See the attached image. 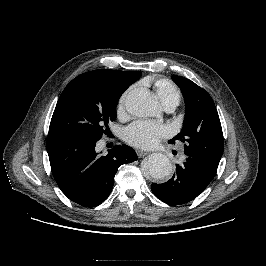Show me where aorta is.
Segmentation results:
<instances>
[{
  "mask_svg": "<svg viewBox=\"0 0 266 266\" xmlns=\"http://www.w3.org/2000/svg\"><path fill=\"white\" fill-rule=\"evenodd\" d=\"M125 107L131 115L149 117L158 113L159 101L157 96L148 90L136 89L128 93ZM142 170L154 179H162L172 173V164L166 155L153 153L148 156Z\"/></svg>",
  "mask_w": 266,
  "mask_h": 266,
  "instance_id": "obj_1",
  "label": "aorta"
}]
</instances>
